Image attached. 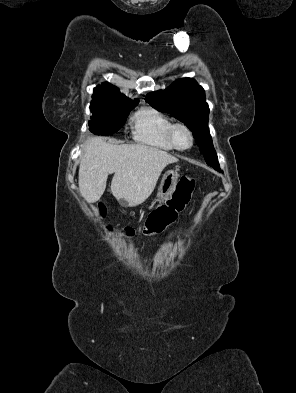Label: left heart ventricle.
Masks as SVG:
<instances>
[{
  "mask_svg": "<svg viewBox=\"0 0 296 393\" xmlns=\"http://www.w3.org/2000/svg\"><path fill=\"white\" fill-rule=\"evenodd\" d=\"M175 139L180 147H187L190 144V136L188 132L183 128H178L175 132Z\"/></svg>",
  "mask_w": 296,
  "mask_h": 393,
  "instance_id": "obj_1",
  "label": "left heart ventricle"
}]
</instances>
